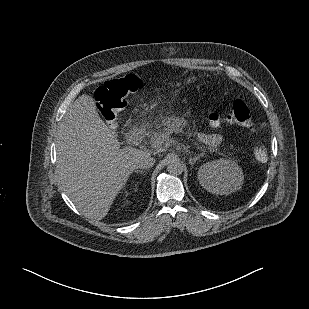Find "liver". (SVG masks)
I'll return each mask as SVG.
<instances>
[{
	"label": "liver",
	"instance_id": "1",
	"mask_svg": "<svg viewBox=\"0 0 309 309\" xmlns=\"http://www.w3.org/2000/svg\"><path fill=\"white\" fill-rule=\"evenodd\" d=\"M62 186L81 213L102 220L129 176L149 153L120 148L116 133L100 118L94 99L83 94L68 109L57 138Z\"/></svg>",
	"mask_w": 309,
	"mask_h": 309
}]
</instances>
